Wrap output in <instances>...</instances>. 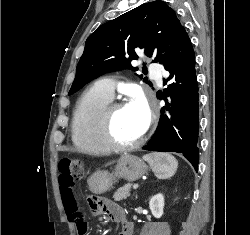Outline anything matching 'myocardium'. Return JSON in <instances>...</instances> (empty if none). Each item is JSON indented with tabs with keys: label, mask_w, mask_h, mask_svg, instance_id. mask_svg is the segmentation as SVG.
<instances>
[{
	"label": "myocardium",
	"mask_w": 250,
	"mask_h": 235,
	"mask_svg": "<svg viewBox=\"0 0 250 235\" xmlns=\"http://www.w3.org/2000/svg\"><path fill=\"white\" fill-rule=\"evenodd\" d=\"M128 106L127 103L117 101L108 103L102 110L99 120V135L103 143L113 151H130L139 147L145 140V134L131 143L118 142L112 133V123L116 112Z\"/></svg>",
	"instance_id": "obj_1"
}]
</instances>
